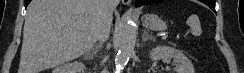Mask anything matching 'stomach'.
I'll return each instance as SVG.
<instances>
[{"label": "stomach", "mask_w": 244, "mask_h": 73, "mask_svg": "<svg viewBox=\"0 0 244 73\" xmlns=\"http://www.w3.org/2000/svg\"><path fill=\"white\" fill-rule=\"evenodd\" d=\"M142 24L145 28L152 31H165L167 29L166 23L155 14H146L142 17Z\"/></svg>", "instance_id": "stomach-1"}]
</instances>
